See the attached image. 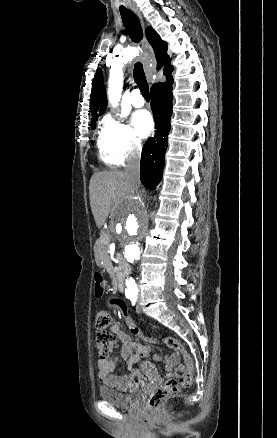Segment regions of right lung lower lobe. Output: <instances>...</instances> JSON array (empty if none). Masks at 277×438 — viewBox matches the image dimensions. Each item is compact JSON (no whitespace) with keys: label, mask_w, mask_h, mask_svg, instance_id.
Wrapping results in <instances>:
<instances>
[{"label":"right lung lower lobe","mask_w":277,"mask_h":438,"mask_svg":"<svg viewBox=\"0 0 277 438\" xmlns=\"http://www.w3.org/2000/svg\"><path fill=\"white\" fill-rule=\"evenodd\" d=\"M172 83L173 79L169 75L166 83H156L150 91L157 131L155 138L148 139L143 147L140 169L141 182L148 189H155L162 179L172 115Z\"/></svg>","instance_id":"98d812e1"}]
</instances>
